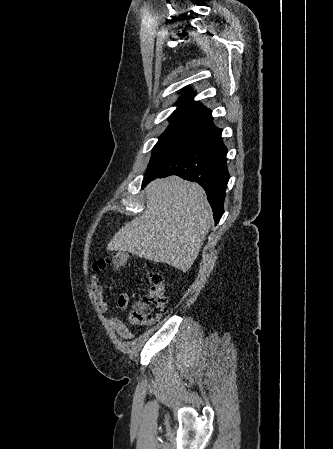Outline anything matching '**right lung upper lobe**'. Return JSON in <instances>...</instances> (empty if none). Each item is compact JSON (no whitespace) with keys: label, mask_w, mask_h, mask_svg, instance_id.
I'll list each match as a JSON object with an SVG mask.
<instances>
[{"label":"right lung upper lobe","mask_w":333,"mask_h":449,"mask_svg":"<svg viewBox=\"0 0 333 449\" xmlns=\"http://www.w3.org/2000/svg\"><path fill=\"white\" fill-rule=\"evenodd\" d=\"M189 89L182 91V96L176 103L177 109L168 117V127H192L203 131L213 126V117L210 109L193 100L195 92Z\"/></svg>","instance_id":"1"}]
</instances>
